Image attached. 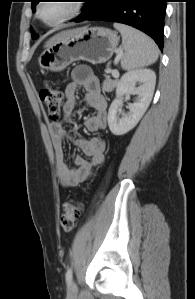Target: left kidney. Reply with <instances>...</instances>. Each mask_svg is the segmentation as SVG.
Masks as SVG:
<instances>
[{
  "instance_id": "obj_1",
  "label": "left kidney",
  "mask_w": 195,
  "mask_h": 299,
  "mask_svg": "<svg viewBox=\"0 0 195 299\" xmlns=\"http://www.w3.org/2000/svg\"><path fill=\"white\" fill-rule=\"evenodd\" d=\"M139 86L136 87V84ZM156 84L155 72L151 69H138L125 73L116 88V98L108 111V126L110 131L120 136L133 129L146 112L152 100ZM124 95H137L134 103L128 104L129 112L122 114V97Z\"/></svg>"
}]
</instances>
